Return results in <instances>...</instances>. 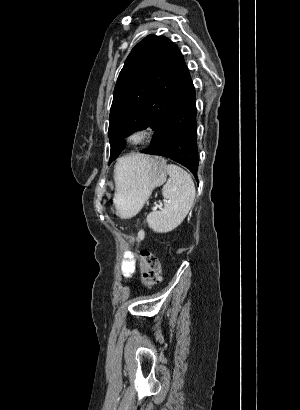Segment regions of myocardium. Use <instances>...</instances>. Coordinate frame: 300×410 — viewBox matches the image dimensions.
I'll list each match as a JSON object with an SVG mask.
<instances>
[{
  "label": "myocardium",
  "instance_id": "obj_1",
  "mask_svg": "<svg viewBox=\"0 0 300 410\" xmlns=\"http://www.w3.org/2000/svg\"><path fill=\"white\" fill-rule=\"evenodd\" d=\"M155 138V132L152 128L141 127L131 131L125 141L132 147H140L150 144Z\"/></svg>",
  "mask_w": 300,
  "mask_h": 410
}]
</instances>
